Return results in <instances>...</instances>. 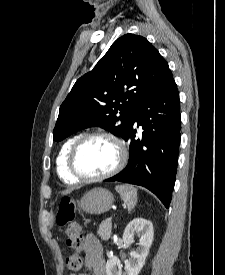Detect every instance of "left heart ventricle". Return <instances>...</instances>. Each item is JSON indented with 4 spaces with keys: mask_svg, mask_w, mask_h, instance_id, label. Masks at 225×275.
Instances as JSON below:
<instances>
[{
    "mask_svg": "<svg viewBox=\"0 0 225 275\" xmlns=\"http://www.w3.org/2000/svg\"><path fill=\"white\" fill-rule=\"evenodd\" d=\"M117 147L109 140L94 138L86 141L76 156L77 170L83 175H101L114 168Z\"/></svg>",
    "mask_w": 225,
    "mask_h": 275,
    "instance_id": "obj_1",
    "label": "left heart ventricle"
}]
</instances>
